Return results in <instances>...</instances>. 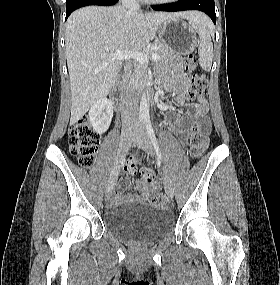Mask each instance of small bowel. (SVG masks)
Masks as SVG:
<instances>
[{
    "mask_svg": "<svg viewBox=\"0 0 280 285\" xmlns=\"http://www.w3.org/2000/svg\"><path fill=\"white\" fill-rule=\"evenodd\" d=\"M166 84L174 93L176 103L179 106L184 107L186 104L188 91L191 87V81L188 76L182 72V67L180 64H177L174 67L172 71V79L167 80ZM208 109V103L205 99H201L195 105L194 118L199 128H204L206 126L210 127V122L207 117ZM171 129L175 133L181 135L183 141H186L188 128L181 121L171 122ZM138 167V162L133 159L126 165L125 172L128 174H134L138 170ZM126 182V180H123L121 185L124 186ZM135 186L139 193L127 195L123 193H114L110 195V201L113 203L146 201L152 193L158 191L159 189V184L156 181H151L149 183L144 181H136Z\"/></svg>",
    "mask_w": 280,
    "mask_h": 285,
    "instance_id": "small-bowel-1",
    "label": "small bowel"
}]
</instances>
